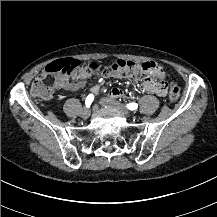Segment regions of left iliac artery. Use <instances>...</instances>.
Wrapping results in <instances>:
<instances>
[{"label": "left iliac artery", "instance_id": "44dca946", "mask_svg": "<svg viewBox=\"0 0 217 217\" xmlns=\"http://www.w3.org/2000/svg\"><path fill=\"white\" fill-rule=\"evenodd\" d=\"M126 107H127L129 110H132V111H133V110H136V109L138 108V104L132 102V103L127 104Z\"/></svg>", "mask_w": 217, "mask_h": 217}]
</instances>
